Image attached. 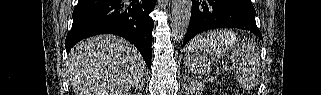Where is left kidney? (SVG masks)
Masks as SVG:
<instances>
[{"instance_id": "obj_1", "label": "left kidney", "mask_w": 321, "mask_h": 95, "mask_svg": "<svg viewBox=\"0 0 321 95\" xmlns=\"http://www.w3.org/2000/svg\"><path fill=\"white\" fill-rule=\"evenodd\" d=\"M202 90H203V88H201V87H193L191 89V95H200Z\"/></svg>"}]
</instances>
